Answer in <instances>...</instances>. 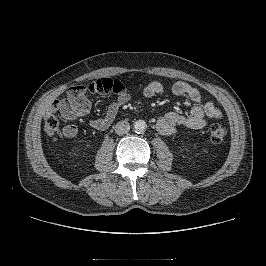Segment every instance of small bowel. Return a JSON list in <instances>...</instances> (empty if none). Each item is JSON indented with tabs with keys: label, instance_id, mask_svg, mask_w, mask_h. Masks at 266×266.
<instances>
[{
	"label": "small bowel",
	"instance_id": "c3829d8e",
	"mask_svg": "<svg viewBox=\"0 0 266 266\" xmlns=\"http://www.w3.org/2000/svg\"><path fill=\"white\" fill-rule=\"evenodd\" d=\"M163 90V86L158 81L150 82L143 91L145 97H152ZM171 91L177 97H187L192 102L189 114L183 115L177 112H168L162 115L157 121L158 131L166 136H174L180 127L197 130L207 125L208 119H217L222 116L221 110L212 101L202 103L199 90L187 82L177 81L172 85ZM130 99L129 94L123 90L118 94L115 101L109 104L105 114L91 121V126L97 130L107 129L118 114L120 107ZM52 109L59 111L65 120H75L86 116L91 109V103L84 94L73 97L68 93L67 98L54 101ZM78 134V128L74 125L65 126L62 136L71 138ZM52 140L59 139L53 133H49Z\"/></svg>",
	"mask_w": 266,
	"mask_h": 266
}]
</instances>
